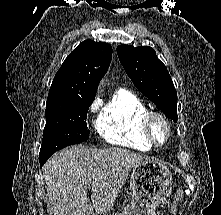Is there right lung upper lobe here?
I'll list each match as a JSON object with an SVG mask.
<instances>
[{"label": "right lung upper lobe", "mask_w": 221, "mask_h": 215, "mask_svg": "<svg viewBox=\"0 0 221 215\" xmlns=\"http://www.w3.org/2000/svg\"><path fill=\"white\" fill-rule=\"evenodd\" d=\"M111 58L112 47L108 43L85 40L79 44L56 73L47 104L93 101Z\"/></svg>", "instance_id": "cb5924a9"}]
</instances>
